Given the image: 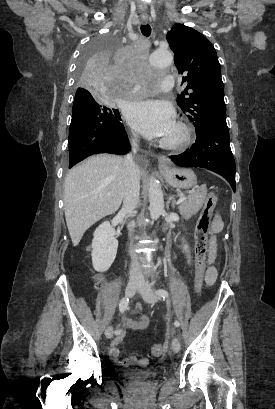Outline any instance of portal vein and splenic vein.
<instances>
[{"label": "portal vein and splenic vein", "instance_id": "18ae733b", "mask_svg": "<svg viewBox=\"0 0 275 409\" xmlns=\"http://www.w3.org/2000/svg\"><path fill=\"white\" fill-rule=\"evenodd\" d=\"M182 200H185L184 196L183 198H179V200H177V205H179V202H182Z\"/></svg>", "mask_w": 275, "mask_h": 409}]
</instances>
